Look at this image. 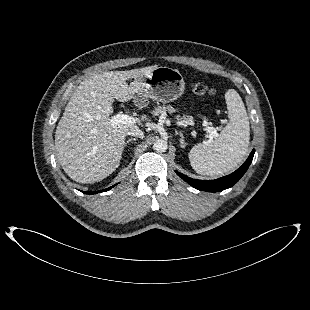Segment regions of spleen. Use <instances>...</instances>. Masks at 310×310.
Segmentation results:
<instances>
[{"mask_svg":"<svg viewBox=\"0 0 310 310\" xmlns=\"http://www.w3.org/2000/svg\"><path fill=\"white\" fill-rule=\"evenodd\" d=\"M229 122L211 141L195 145L188 157L201 175L217 176L233 170L248 151L250 125L244 103L234 89L225 94Z\"/></svg>","mask_w":310,"mask_h":310,"instance_id":"spleen-1","label":"spleen"}]
</instances>
